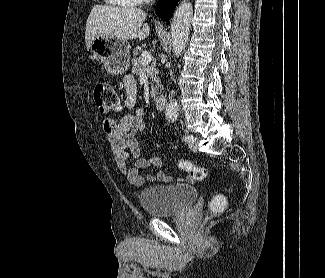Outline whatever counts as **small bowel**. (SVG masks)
Listing matches in <instances>:
<instances>
[{"mask_svg": "<svg viewBox=\"0 0 325 278\" xmlns=\"http://www.w3.org/2000/svg\"><path fill=\"white\" fill-rule=\"evenodd\" d=\"M123 84L126 93L125 106L129 112L120 119L103 121V131L111 146L117 167L121 174L135 186H141L145 182H169L171 177L159 171L162 159L141 154L137 136L144 129L145 112L141 108H134L137 98L135 80L131 76H126ZM129 160L133 161L131 166L128 165ZM141 169L153 170L155 173L143 176L139 174Z\"/></svg>", "mask_w": 325, "mask_h": 278, "instance_id": "1", "label": "small bowel"}]
</instances>
